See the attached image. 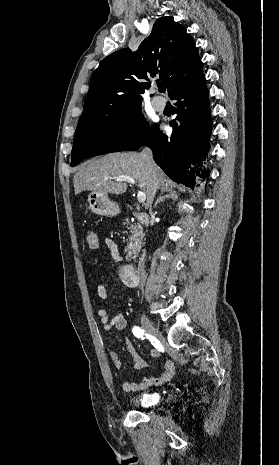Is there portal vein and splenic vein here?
Here are the masks:
<instances>
[{
    "mask_svg": "<svg viewBox=\"0 0 279 465\" xmlns=\"http://www.w3.org/2000/svg\"><path fill=\"white\" fill-rule=\"evenodd\" d=\"M116 181H127L131 184H135V180L129 176H119L116 178ZM137 199L139 203H144L146 200V194L144 192L138 191Z\"/></svg>",
    "mask_w": 279,
    "mask_h": 465,
    "instance_id": "1",
    "label": "portal vein and splenic vein"
}]
</instances>
